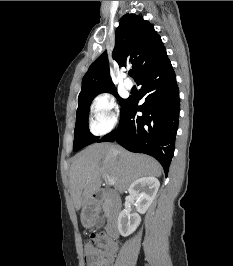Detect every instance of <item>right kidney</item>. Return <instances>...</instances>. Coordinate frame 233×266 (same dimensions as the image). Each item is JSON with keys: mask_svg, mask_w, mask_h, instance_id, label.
<instances>
[{"mask_svg": "<svg viewBox=\"0 0 233 266\" xmlns=\"http://www.w3.org/2000/svg\"><path fill=\"white\" fill-rule=\"evenodd\" d=\"M160 183L157 178L146 176L134 181L128 191L130 201L136 202V209L138 213L130 212L129 201L125 203V209L118 217V230L122 236L132 234L141 222L139 214H144L151 203L153 202Z\"/></svg>", "mask_w": 233, "mask_h": 266, "instance_id": "obj_1", "label": "right kidney"}]
</instances>
